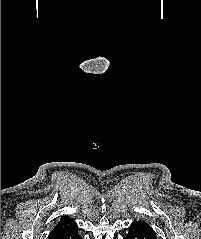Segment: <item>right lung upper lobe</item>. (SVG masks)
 <instances>
[{
    "mask_svg": "<svg viewBox=\"0 0 201 239\" xmlns=\"http://www.w3.org/2000/svg\"><path fill=\"white\" fill-rule=\"evenodd\" d=\"M78 226L69 217H61L59 223L50 232L48 239H77Z\"/></svg>",
    "mask_w": 201,
    "mask_h": 239,
    "instance_id": "right-lung-upper-lobe-1",
    "label": "right lung upper lobe"
}]
</instances>
